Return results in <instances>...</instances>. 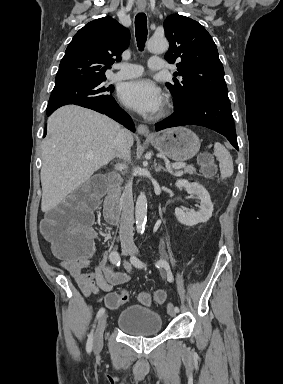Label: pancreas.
<instances>
[{"label": "pancreas", "instance_id": "1", "mask_svg": "<svg viewBox=\"0 0 283 384\" xmlns=\"http://www.w3.org/2000/svg\"><path fill=\"white\" fill-rule=\"evenodd\" d=\"M185 174H196V170L195 168H193V166H185V168H183Z\"/></svg>", "mask_w": 283, "mask_h": 384}]
</instances>
